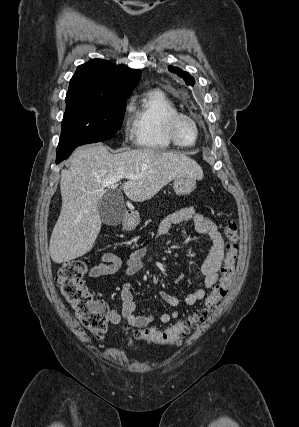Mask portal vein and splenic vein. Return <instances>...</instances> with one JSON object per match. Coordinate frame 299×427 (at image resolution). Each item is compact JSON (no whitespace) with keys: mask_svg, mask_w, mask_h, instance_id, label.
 Wrapping results in <instances>:
<instances>
[{"mask_svg":"<svg viewBox=\"0 0 299 427\" xmlns=\"http://www.w3.org/2000/svg\"><path fill=\"white\" fill-rule=\"evenodd\" d=\"M122 178L136 179V178H138V176L134 175V174H131V173H119L116 177H112V178H109V179L103 181V186L114 185L118 181H120Z\"/></svg>","mask_w":299,"mask_h":427,"instance_id":"obj_1","label":"portal vein and splenic vein"}]
</instances>
